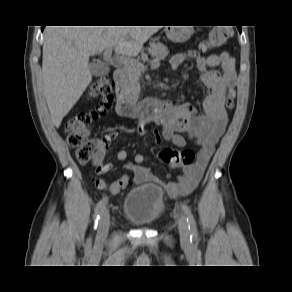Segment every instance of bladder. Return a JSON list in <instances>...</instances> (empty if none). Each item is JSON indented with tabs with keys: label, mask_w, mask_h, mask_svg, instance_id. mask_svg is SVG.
<instances>
[{
	"label": "bladder",
	"mask_w": 292,
	"mask_h": 292,
	"mask_svg": "<svg viewBox=\"0 0 292 292\" xmlns=\"http://www.w3.org/2000/svg\"><path fill=\"white\" fill-rule=\"evenodd\" d=\"M163 210V193L156 185L135 187L127 194L123 204V216L136 227L152 225L160 218Z\"/></svg>",
	"instance_id": "31cf9c89"
}]
</instances>
